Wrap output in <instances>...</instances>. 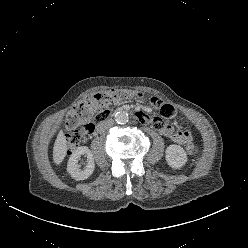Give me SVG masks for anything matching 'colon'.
Returning a JSON list of instances; mask_svg holds the SVG:
<instances>
[{
    "mask_svg": "<svg viewBox=\"0 0 248 248\" xmlns=\"http://www.w3.org/2000/svg\"><path fill=\"white\" fill-rule=\"evenodd\" d=\"M134 96V93L126 90H110L95 94L92 97L76 104L66 117V134L68 152L72 153L82 143L87 135L95 131V124L105 120L109 115V106L119 100ZM187 152L191 155L198 151L193 142L187 144Z\"/></svg>",
    "mask_w": 248,
    "mask_h": 248,
    "instance_id": "1",
    "label": "colon"
}]
</instances>
